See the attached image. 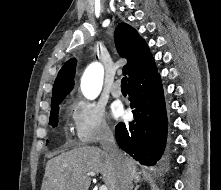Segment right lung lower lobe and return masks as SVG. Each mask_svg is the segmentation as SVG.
<instances>
[{
  "mask_svg": "<svg viewBox=\"0 0 221 190\" xmlns=\"http://www.w3.org/2000/svg\"><path fill=\"white\" fill-rule=\"evenodd\" d=\"M129 100L134 120L116 126V141L139 163L155 165L167 141V112L160 74L129 85Z\"/></svg>",
  "mask_w": 221,
  "mask_h": 190,
  "instance_id": "98d812e1",
  "label": "right lung lower lobe"
}]
</instances>
